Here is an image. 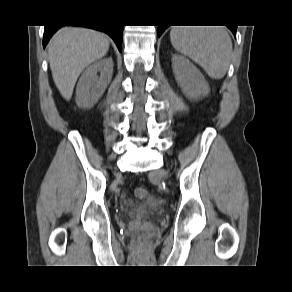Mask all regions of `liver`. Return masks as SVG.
I'll return each mask as SVG.
<instances>
[{
    "mask_svg": "<svg viewBox=\"0 0 292 292\" xmlns=\"http://www.w3.org/2000/svg\"><path fill=\"white\" fill-rule=\"evenodd\" d=\"M108 49V37L93 29L64 27L53 35L48 44L50 69L66 100H70L81 72L106 55Z\"/></svg>",
    "mask_w": 292,
    "mask_h": 292,
    "instance_id": "obj_1",
    "label": "liver"
}]
</instances>
